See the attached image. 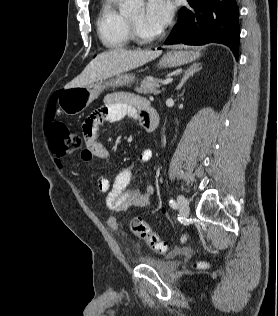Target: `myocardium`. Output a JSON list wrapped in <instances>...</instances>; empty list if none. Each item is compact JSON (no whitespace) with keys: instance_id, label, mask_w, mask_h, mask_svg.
Segmentation results:
<instances>
[{"instance_id":"myocardium-1","label":"myocardium","mask_w":278,"mask_h":316,"mask_svg":"<svg viewBox=\"0 0 278 316\" xmlns=\"http://www.w3.org/2000/svg\"><path fill=\"white\" fill-rule=\"evenodd\" d=\"M127 22L131 38L139 44L153 43L160 39L163 35L161 31L157 32L154 35H145L130 18H127Z\"/></svg>"}]
</instances>
